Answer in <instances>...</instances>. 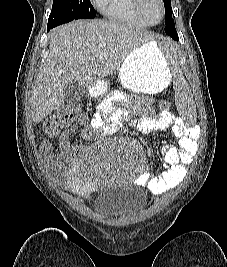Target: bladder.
I'll return each instance as SVG.
<instances>
[{"label": "bladder", "mask_w": 227, "mask_h": 267, "mask_svg": "<svg viewBox=\"0 0 227 267\" xmlns=\"http://www.w3.org/2000/svg\"><path fill=\"white\" fill-rule=\"evenodd\" d=\"M129 189V186H121L100 191L93 202L95 212L107 220H117L139 212L147 200L134 191L128 195L119 194L129 192Z\"/></svg>", "instance_id": "bladder-1"}]
</instances>
